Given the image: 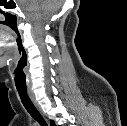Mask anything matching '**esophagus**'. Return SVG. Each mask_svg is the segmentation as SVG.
I'll use <instances>...</instances> for the list:
<instances>
[{
    "mask_svg": "<svg viewBox=\"0 0 127 126\" xmlns=\"http://www.w3.org/2000/svg\"><path fill=\"white\" fill-rule=\"evenodd\" d=\"M28 94H29V96H30L31 100L34 102V104H36L35 99H34L33 92H32L31 90H29V91H28ZM46 123L48 124V122H47V121H46Z\"/></svg>",
    "mask_w": 127,
    "mask_h": 126,
    "instance_id": "1",
    "label": "esophagus"
}]
</instances>
